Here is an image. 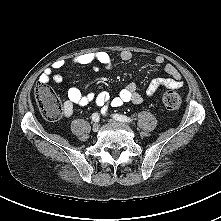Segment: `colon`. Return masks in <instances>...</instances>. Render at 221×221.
Listing matches in <instances>:
<instances>
[{"label": "colon", "mask_w": 221, "mask_h": 221, "mask_svg": "<svg viewBox=\"0 0 221 221\" xmlns=\"http://www.w3.org/2000/svg\"><path fill=\"white\" fill-rule=\"evenodd\" d=\"M34 97L45 118L51 121L60 119L63 107L47 83H37L34 89ZM162 102L168 110H177L182 101L178 93L168 90L163 93Z\"/></svg>", "instance_id": "5ec220e1"}]
</instances>
